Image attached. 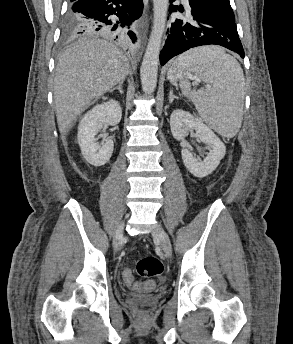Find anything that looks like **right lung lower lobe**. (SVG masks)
I'll return each mask as SVG.
<instances>
[{"instance_id": "right-lung-lower-lobe-1", "label": "right lung lower lobe", "mask_w": 293, "mask_h": 344, "mask_svg": "<svg viewBox=\"0 0 293 344\" xmlns=\"http://www.w3.org/2000/svg\"><path fill=\"white\" fill-rule=\"evenodd\" d=\"M142 0H75L71 12L87 21L80 33H98L120 42L135 41L130 25L142 15Z\"/></svg>"}]
</instances>
